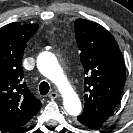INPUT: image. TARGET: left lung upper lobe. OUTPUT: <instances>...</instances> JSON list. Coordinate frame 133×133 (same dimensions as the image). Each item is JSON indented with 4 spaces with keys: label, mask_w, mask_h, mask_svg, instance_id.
Listing matches in <instances>:
<instances>
[{
    "label": "left lung upper lobe",
    "mask_w": 133,
    "mask_h": 133,
    "mask_svg": "<svg viewBox=\"0 0 133 133\" xmlns=\"http://www.w3.org/2000/svg\"><path fill=\"white\" fill-rule=\"evenodd\" d=\"M75 37L86 74L84 112L109 118L125 84L122 53L114 37L95 22L77 19Z\"/></svg>",
    "instance_id": "obj_1"
}]
</instances>
